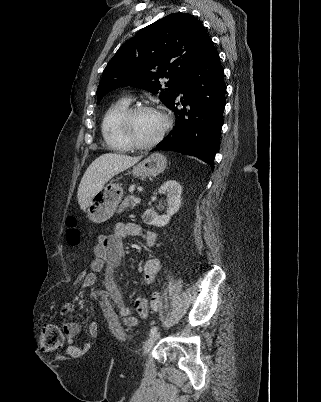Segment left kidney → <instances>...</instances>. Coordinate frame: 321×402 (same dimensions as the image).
<instances>
[{
  "mask_svg": "<svg viewBox=\"0 0 321 402\" xmlns=\"http://www.w3.org/2000/svg\"><path fill=\"white\" fill-rule=\"evenodd\" d=\"M159 193L167 195V214L160 216L154 210L147 209L142 218L147 224L163 227L169 223L171 216L180 208L182 187L175 180H167L159 188Z\"/></svg>",
  "mask_w": 321,
  "mask_h": 402,
  "instance_id": "1",
  "label": "left kidney"
}]
</instances>
